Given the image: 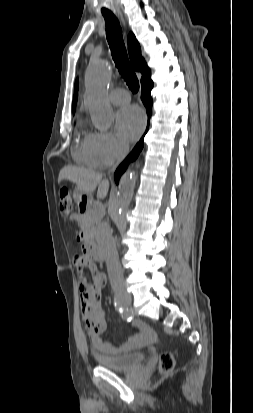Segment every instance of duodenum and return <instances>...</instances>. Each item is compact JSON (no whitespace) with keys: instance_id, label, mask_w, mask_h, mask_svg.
<instances>
[{"instance_id":"1","label":"duodenum","mask_w":253,"mask_h":413,"mask_svg":"<svg viewBox=\"0 0 253 413\" xmlns=\"http://www.w3.org/2000/svg\"><path fill=\"white\" fill-rule=\"evenodd\" d=\"M78 239L83 243V251L86 257L94 261H102L104 259V253L99 247L91 245L84 240L83 232L79 233Z\"/></svg>"}]
</instances>
